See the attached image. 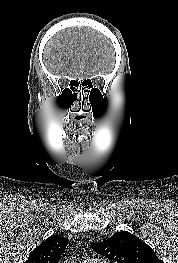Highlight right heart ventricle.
<instances>
[{"label": "right heart ventricle", "mask_w": 178, "mask_h": 263, "mask_svg": "<svg viewBox=\"0 0 178 263\" xmlns=\"http://www.w3.org/2000/svg\"><path fill=\"white\" fill-rule=\"evenodd\" d=\"M84 263H107V262L99 259H90L85 261Z\"/></svg>", "instance_id": "right-heart-ventricle-1"}]
</instances>
